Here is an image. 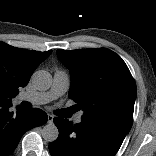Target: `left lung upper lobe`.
I'll return each instance as SVG.
<instances>
[{
    "label": "left lung upper lobe",
    "mask_w": 156,
    "mask_h": 156,
    "mask_svg": "<svg viewBox=\"0 0 156 156\" xmlns=\"http://www.w3.org/2000/svg\"><path fill=\"white\" fill-rule=\"evenodd\" d=\"M57 56L70 71L69 98L83 109L81 120L129 132L137 90L125 62L106 48L57 50Z\"/></svg>",
    "instance_id": "1"
}]
</instances>
